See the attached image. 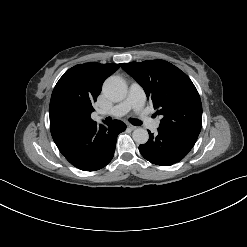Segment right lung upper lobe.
Here are the masks:
<instances>
[{"instance_id": "obj_1", "label": "right lung upper lobe", "mask_w": 247, "mask_h": 247, "mask_svg": "<svg viewBox=\"0 0 247 247\" xmlns=\"http://www.w3.org/2000/svg\"><path fill=\"white\" fill-rule=\"evenodd\" d=\"M120 64L85 63L70 68L53 89L50 106L51 135L60 152L73 148L96 125L91 119L103 82Z\"/></svg>"}]
</instances>
